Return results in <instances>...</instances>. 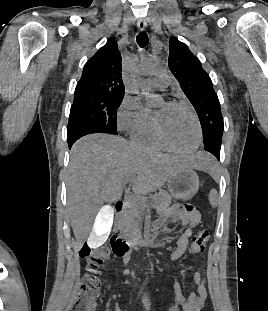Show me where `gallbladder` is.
Segmentation results:
<instances>
[{"label":"gallbladder","instance_id":"1","mask_svg":"<svg viewBox=\"0 0 268 311\" xmlns=\"http://www.w3.org/2000/svg\"><path fill=\"white\" fill-rule=\"evenodd\" d=\"M114 202H105L101 209H98L95 218V224L89 232V246L91 249H98L99 246H104V239H108V234H111V226L114 219Z\"/></svg>","mask_w":268,"mask_h":311}]
</instances>
